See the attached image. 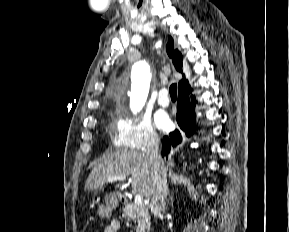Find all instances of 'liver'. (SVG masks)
<instances>
[{
	"instance_id": "liver-1",
	"label": "liver",
	"mask_w": 289,
	"mask_h": 232,
	"mask_svg": "<svg viewBox=\"0 0 289 232\" xmlns=\"http://www.w3.org/2000/svg\"><path fill=\"white\" fill-rule=\"evenodd\" d=\"M111 176H130L132 189L149 198L153 191V166L146 154L124 150L99 162L85 183L88 191L103 190ZM116 187H121L117 185Z\"/></svg>"
}]
</instances>
